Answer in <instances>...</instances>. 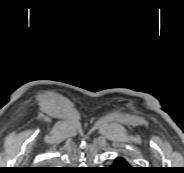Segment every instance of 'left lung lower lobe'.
Returning <instances> with one entry per match:
<instances>
[{
  "label": "left lung lower lobe",
  "mask_w": 184,
  "mask_h": 173,
  "mask_svg": "<svg viewBox=\"0 0 184 173\" xmlns=\"http://www.w3.org/2000/svg\"><path fill=\"white\" fill-rule=\"evenodd\" d=\"M116 167H112L113 173H138V168L130 167L128 162L122 157L115 160Z\"/></svg>",
  "instance_id": "0a47b994"
}]
</instances>
